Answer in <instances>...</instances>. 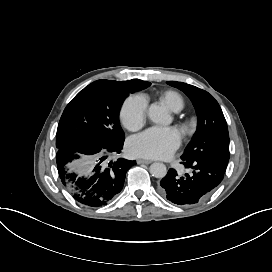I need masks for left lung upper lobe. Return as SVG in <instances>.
I'll return each mask as SVG.
<instances>
[{
    "label": "left lung upper lobe",
    "mask_w": 272,
    "mask_h": 272,
    "mask_svg": "<svg viewBox=\"0 0 272 272\" xmlns=\"http://www.w3.org/2000/svg\"><path fill=\"white\" fill-rule=\"evenodd\" d=\"M183 91L192 101L198 116V126L181 159H208L224 165L229 161V134L227 123L218 102L208 92L195 86L168 81Z\"/></svg>",
    "instance_id": "obj_1"
}]
</instances>
